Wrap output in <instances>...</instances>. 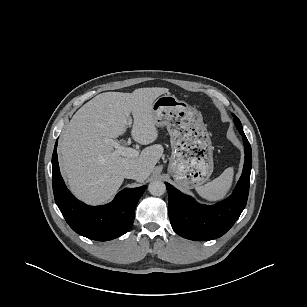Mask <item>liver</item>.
<instances>
[{
  "instance_id": "liver-1",
  "label": "liver",
  "mask_w": 307,
  "mask_h": 307,
  "mask_svg": "<svg viewBox=\"0 0 307 307\" xmlns=\"http://www.w3.org/2000/svg\"><path fill=\"white\" fill-rule=\"evenodd\" d=\"M167 88H139L132 93L105 92L84 104L62 132L58 146L59 165L72 193L87 204L109 201L124 181L128 168L146 180L163 154V146L144 148L136 158L114 155L113 146L105 142L126 132L130 113L134 122L132 138L142 145L153 143L158 130L152 104Z\"/></svg>"
}]
</instances>
